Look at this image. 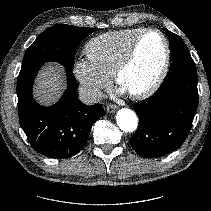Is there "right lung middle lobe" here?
<instances>
[{"label":"right lung middle lobe","mask_w":211,"mask_h":211,"mask_svg":"<svg viewBox=\"0 0 211 211\" xmlns=\"http://www.w3.org/2000/svg\"><path fill=\"white\" fill-rule=\"evenodd\" d=\"M93 32V28L67 24H57L46 29L26 50L21 70L49 61L59 62L66 69L73 70L79 44Z\"/></svg>","instance_id":"right-lung-middle-lobe-1"}]
</instances>
